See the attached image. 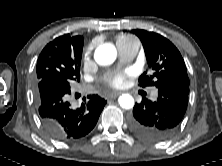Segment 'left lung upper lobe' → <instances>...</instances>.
<instances>
[{
  "label": "left lung upper lobe",
  "instance_id": "5c2ea615",
  "mask_svg": "<svg viewBox=\"0 0 222 166\" xmlns=\"http://www.w3.org/2000/svg\"><path fill=\"white\" fill-rule=\"evenodd\" d=\"M144 47L148 66L153 74L143 73L139 78L141 87L156 86L167 82L189 85V78L184 60L178 49L168 39L154 32L133 30Z\"/></svg>",
  "mask_w": 222,
  "mask_h": 166
}]
</instances>
